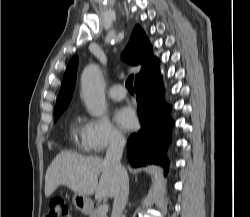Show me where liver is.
<instances>
[{
	"mask_svg": "<svg viewBox=\"0 0 250 217\" xmlns=\"http://www.w3.org/2000/svg\"><path fill=\"white\" fill-rule=\"evenodd\" d=\"M61 185L80 195L95 194L96 199L112 198L115 179L110 166L102 158L61 152L46 171L45 196H51Z\"/></svg>",
	"mask_w": 250,
	"mask_h": 217,
	"instance_id": "1",
	"label": "liver"
}]
</instances>
